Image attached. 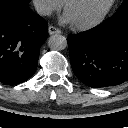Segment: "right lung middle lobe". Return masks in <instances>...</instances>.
I'll return each mask as SVG.
<instances>
[{
	"mask_svg": "<svg viewBox=\"0 0 128 128\" xmlns=\"http://www.w3.org/2000/svg\"><path fill=\"white\" fill-rule=\"evenodd\" d=\"M24 1L30 2L31 0H24Z\"/></svg>",
	"mask_w": 128,
	"mask_h": 128,
	"instance_id": "1",
	"label": "right lung middle lobe"
}]
</instances>
